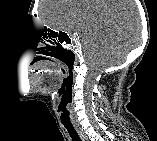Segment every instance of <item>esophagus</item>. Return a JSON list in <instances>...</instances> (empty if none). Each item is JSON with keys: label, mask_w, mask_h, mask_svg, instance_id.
<instances>
[{"label": "esophagus", "mask_w": 157, "mask_h": 141, "mask_svg": "<svg viewBox=\"0 0 157 141\" xmlns=\"http://www.w3.org/2000/svg\"><path fill=\"white\" fill-rule=\"evenodd\" d=\"M75 129H76L77 133L79 134L81 140H82V141H85V140H86V137H85V135L83 134V132L81 131V129L78 128V127H75Z\"/></svg>", "instance_id": "esophagus-1"}]
</instances>
